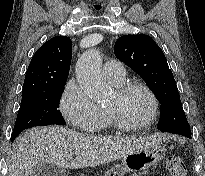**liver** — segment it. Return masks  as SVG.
I'll return each instance as SVG.
<instances>
[{
  "label": "liver",
  "mask_w": 205,
  "mask_h": 176,
  "mask_svg": "<svg viewBox=\"0 0 205 176\" xmlns=\"http://www.w3.org/2000/svg\"><path fill=\"white\" fill-rule=\"evenodd\" d=\"M163 140L160 135L123 139L79 133L66 127L34 128L15 140L8 176H32L43 163L62 169L94 167L155 147ZM69 153L76 155L71 163L64 159Z\"/></svg>",
  "instance_id": "obj_1"
}]
</instances>
